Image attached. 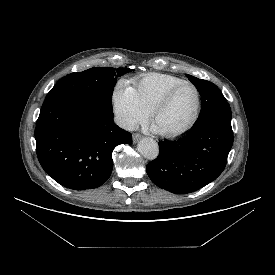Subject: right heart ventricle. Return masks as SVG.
<instances>
[{
  "mask_svg": "<svg viewBox=\"0 0 275 275\" xmlns=\"http://www.w3.org/2000/svg\"><path fill=\"white\" fill-rule=\"evenodd\" d=\"M183 80L168 74L150 73L135 80L136 93L142 105L151 112L154 105L172 86Z\"/></svg>",
  "mask_w": 275,
  "mask_h": 275,
  "instance_id": "e07e8e85",
  "label": "right heart ventricle"
}]
</instances>
